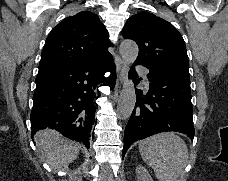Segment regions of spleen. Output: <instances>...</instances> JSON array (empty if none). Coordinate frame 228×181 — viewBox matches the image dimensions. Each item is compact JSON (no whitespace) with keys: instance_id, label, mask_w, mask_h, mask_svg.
<instances>
[{"instance_id":"1","label":"spleen","mask_w":228,"mask_h":181,"mask_svg":"<svg viewBox=\"0 0 228 181\" xmlns=\"http://www.w3.org/2000/svg\"><path fill=\"white\" fill-rule=\"evenodd\" d=\"M139 153L158 181H177L189 157L186 143L174 133H161L140 141Z\"/></svg>"}]
</instances>
